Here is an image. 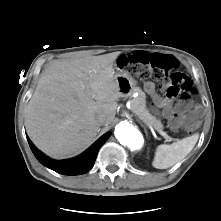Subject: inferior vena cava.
Segmentation results:
<instances>
[{
	"instance_id": "inferior-vena-cava-1",
	"label": "inferior vena cava",
	"mask_w": 221,
	"mask_h": 221,
	"mask_svg": "<svg viewBox=\"0 0 221 221\" xmlns=\"http://www.w3.org/2000/svg\"><path fill=\"white\" fill-rule=\"evenodd\" d=\"M97 122L101 126V125L105 124L106 119H105V117L103 115H99V116H97Z\"/></svg>"
}]
</instances>
